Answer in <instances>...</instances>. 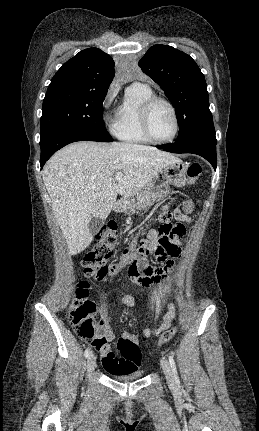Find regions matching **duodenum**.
<instances>
[{
  "label": "duodenum",
  "mask_w": 259,
  "mask_h": 431,
  "mask_svg": "<svg viewBox=\"0 0 259 431\" xmlns=\"http://www.w3.org/2000/svg\"><path fill=\"white\" fill-rule=\"evenodd\" d=\"M124 208V204L121 201H117L114 205L115 211H120Z\"/></svg>",
  "instance_id": "duodenum-1"
}]
</instances>
